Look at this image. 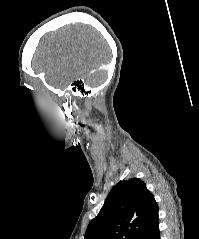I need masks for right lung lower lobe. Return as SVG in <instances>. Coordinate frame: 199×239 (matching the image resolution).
<instances>
[{
	"mask_svg": "<svg viewBox=\"0 0 199 239\" xmlns=\"http://www.w3.org/2000/svg\"><path fill=\"white\" fill-rule=\"evenodd\" d=\"M138 239H160L158 218L142 232Z\"/></svg>",
	"mask_w": 199,
	"mask_h": 239,
	"instance_id": "1",
	"label": "right lung lower lobe"
}]
</instances>
